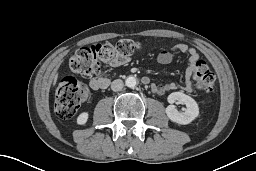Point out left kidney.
Returning a JSON list of instances; mask_svg holds the SVG:
<instances>
[{
	"mask_svg": "<svg viewBox=\"0 0 256 171\" xmlns=\"http://www.w3.org/2000/svg\"><path fill=\"white\" fill-rule=\"evenodd\" d=\"M170 105L166 108L168 118L178 124H189L199 115V108L196 101L182 92H173L168 96ZM173 103L185 104L184 112H179Z\"/></svg>",
	"mask_w": 256,
	"mask_h": 171,
	"instance_id": "obj_1",
	"label": "left kidney"
}]
</instances>
